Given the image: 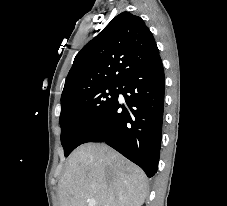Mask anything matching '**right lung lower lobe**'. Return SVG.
Wrapping results in <instances>:
<instances>
[{
  "mask_svg": "<svg viewBox=\"0 0 227 206\" xmlns=\"http://www.w3.org/2000/svg\"><path fill=\"white\" fill-rule=\"evenodd\" d=\"M119 93L128 107L117 99L84 143L105 142L152 177L159 162L164 106V71L160 56L130 72L120 83Z\"/></svg>",
  "mask_w": 227,
  "mask_h": 206,
  "instance_id": "obj_1",
  "label": "right lung lower lobe"
}]
</instances>
